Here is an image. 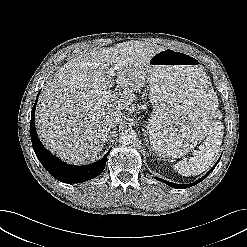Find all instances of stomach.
Instances as JSON below:
<instances>
[{"instance_id": "stomach-1", "label": "stomach", "mask_w": 247, "mask_h": 247, "mask_svg": "<svg viewBox=\"0 0 247 247\" xmlns=\"http://www.w3.org/2000/svg\"><path fill=\"white\" fill-rule=\"evenodd\" d=\"M148 66L152 150L162 157H181L206 135L216 108L215 93L200 61L187 52L165 48Z\"/></svg>"}]
</instances>
